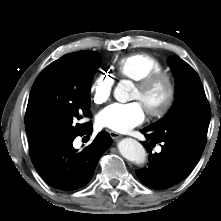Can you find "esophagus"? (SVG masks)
<instances>
[{
  "label": "esophagus",
  "instance_id": "obj_1",
  "mask_svg": "<svg viewBox=\"0 0 221 221\" xmlns=\"http://www.w3.org/2000/svg\"><path fill=\"white\" fill-rule=\"evenodd\" d=\"M109 134L111 136L112 139H118L121 137V135L117 132H114V131H109Z\"/></svg>",
  "mask_w": 221,
  "mask_h": 221
}]
</instances>
